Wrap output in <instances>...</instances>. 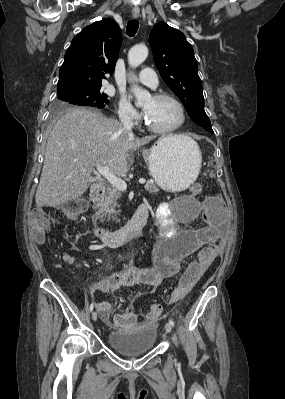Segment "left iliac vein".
I'll list each match as a JSON object with an SVG mask.
<instances>
[{"instance_id": "4c4485c4", "label": "left iliac vein", "mask_w": 285, "mask_h": 399, "mask_svg": "<svg viewBox=\"0 0 285 399\" xmlns=\"http://www.w3.org/2000/svg\"><path fill=\"white\" fill-rule=\"evenodd\" d=\"M165 330L166 332L170 333L172 331V326L170 323H166L165 324Z\"/></svg>"}]
</instances>
